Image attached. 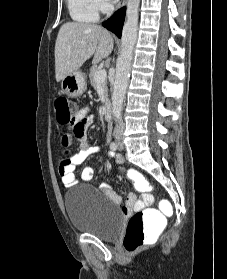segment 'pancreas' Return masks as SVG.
Listing matches in <instances>:
<instances>
[{
    "label": "pancreas",
    "mask_w": 227,
    "mask_h": 279,
    "mask_svg": "<svg viewBox=\"0 0 227 279\" xmlns=\"http://www.w3.org/2000/svg\"><path fill=\"white\" fill-rule=\"evenodd\" d=\"M99 69L97 67H92L89 73V78H90V82L91 85H93L95 88L98 87V84H100L101 88L104 91V97L106 102L108 101V88H107V80L105 79L102 82H97L95 81V74Z\"/></svg>",
    "instance_id": "1"
}]
</instances>
